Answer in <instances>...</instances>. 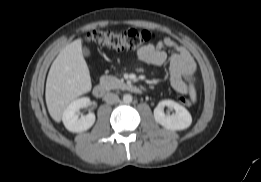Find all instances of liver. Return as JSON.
I'll list each match as a JSON object with an SVG mask.
<instances>
[{"instance_id":"6515ba94","label":"liver","mask_w":261,"mask_h":182,"mask_svg":"<svg viewBox=\"0 0 261 182\" xmlns=\"http://www.w3.org/2000/svg\"><path fill=\"white\" fill-rule=\"evenodd\" d=\"M91 87L90 72L79 38L63 48L50 67L45 91L50 116L60 122L68 104L89 92Z\"/></svg>"}]
</instances>
